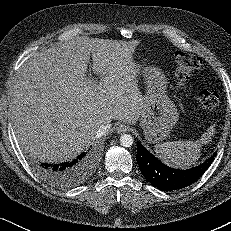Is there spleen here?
<instances>
[{
    "mask_svg": "<svg viewBox=\"0 0 231 231\" xmlns=\"http://www.w3.org/2000/svg\"><path fill=\"white\" fill-rule=\"evenodd\" d=\"M215 134V124L211 125L196 141H173L154 146L158 158L165 164L180 169H188L200 158L201 146L211 141Z\"/></svg>",
    "mask_w": 231,
    "mask_h": 231,
    "instance_id": "1",
    "label": "spleen"
}]
</instances>
